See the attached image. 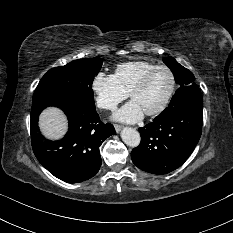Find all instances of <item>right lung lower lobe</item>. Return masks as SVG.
<instances>
[{
	"mask_svg": "<svg viewBox=\"0 0 233 233\" xmlns=\"http://www.w3.org/2000/svg\"><path fill=\"white\" fill-rule=\"evenodd\" d=\"M61 108L68 117L69 130L58 141L45 139L38 128L40 112L48 107ZM31 143L38 161L55 177L69 183L86 181L101 166L99 147L115 134L112 124L100 121L95 107L68 100H37L31 109Z\"/></svg>",
	"mask_w": 233,
	"mask_h": 233,
	"instance_id": "obj_1",
	"label": "right lung lower lobe"
}]
</instances>
